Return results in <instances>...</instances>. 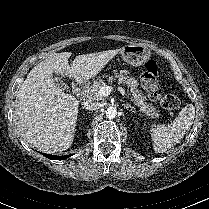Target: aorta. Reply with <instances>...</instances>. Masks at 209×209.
Segmentation results:
<instances>
[{"label": "aorta", "mask_w": 209, "mask_h": 209, "mask_svg": "<svg viewBox=\"0 0 209 209\" xmlns=\"http://www.w3.org/2000/svg\"><path fill=\"white\" fill-rule=\"evenodd\" d=\"M116 115H117V110H116V108H114V107H109V108H107V110H106V117H107V118L113 119V118L116 117Z\"/></svg>", "instance_id": "obj_1"}]
</instances>
